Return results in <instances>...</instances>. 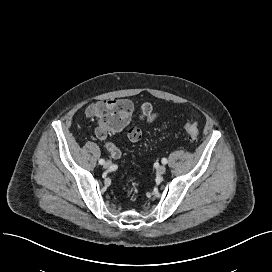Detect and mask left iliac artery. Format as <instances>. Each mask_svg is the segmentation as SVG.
I'll return each mask as SVG.
<instances>
[{"instance_id": "left-iliac-artery-1", "label": "left iliac artery", "mask_w": 272, "mask_h": 272, "mask_svg": "<svg viewBox=\"0 0 272 272\" xmlns=\"http://www.w3.org/2000/svg\"><path fill=\"white\" fill-rule=\"evenodd\" d=\"M167 162H168V161H167L166 158H163V159H162V163H163V164H167Z\"/></svg>"}]
</instances>
